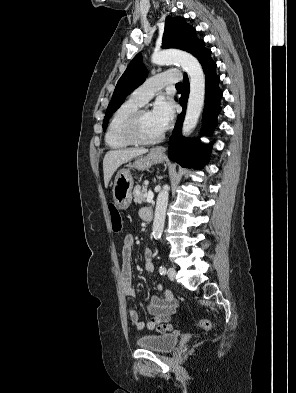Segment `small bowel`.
<instances>
[{"mask_svg":"<svg viewBox=\"0 0 296 393\" xmlns=\"http://www.w3.org/2000/svg\"><path fill=\"white\" fill-rule=\"evenodd\" d=\"M146 208H142L139 211V215L142 219L145 218ZM134 236L127 234L124 238L122 245V268L120 272V279L123 292L126 296L135 297L136 291L132 284V268H131V257L134 246ZM145 270L149 273L154 271V262L152 259V253L148 249L146 250V262ZM158 292L162 294V297L156 295H149L146 301V310L150 314V319L144 323L140 320L139 314L136 309L130 308L128 311L129 318L137 330H142L146 327L148 330H157L164 332L172 328L170 324V318L175 308L177 307V300L175 299L172 292L166 289L161 283L156 284Z\"/></svg>","mask_w":296,"mask_h":393,"instance_id":"small-bowel-1","label":"small bowel"}]
</instances>
